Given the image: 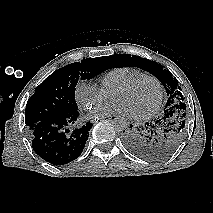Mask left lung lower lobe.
Masks as SVG:
<instances>
[{
	"instance_id": "0a47b994",
	"label": "left lung lower lobe",
	"mask_w": 213,
	"mask_h": 213,
	"mask_svg": "<svg viewBox=\"0 0 213 213\" xmlns=\"http://www.w3.org/2000/svg\"><path fill=\"white\" fill-rule=\"evenodd\" d=\"M156 121L145 124V127L141 130L134 129L132 128V125H130V129L123 132L124 144L132 153L140 157H145L144 155L148 151L146 144L148 139L147 137H150L151 134L153 135L156 127Z\"/></svg>"
}]
</instances>
